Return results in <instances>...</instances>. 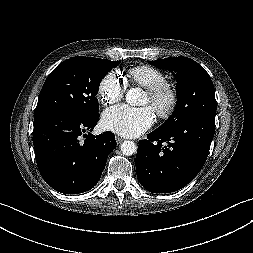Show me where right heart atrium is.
Listing matches in <instances>:
<instances>
[{"label": "right heart atrium", "mask_w": 253, "mask_h": 253, "mask_svg": "<svg viewBox=\"0 0 253 253\" xmlns=\"http://www.w3.org/2000/svg\"><path fill=\"white\" fill-rule=\"evenodd\" d=\"M126 82L116 72L107 73L98 86V98L103 105H113L124 97Z\"/></svg>", "instance_id": "right-heart-atrium-1"}]
</instances>
